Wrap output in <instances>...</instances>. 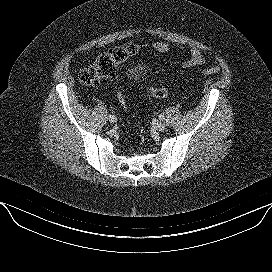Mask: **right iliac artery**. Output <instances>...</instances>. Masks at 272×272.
<instances>
[{"label": "right iliac artery", "instance_id": "obj_1", "mask_svg": "<svg viewBox=\"0 0 272 272\" xmlns=\"http://www.w3.org/2000/svg\"><path fill=\"white\" fill-rule=\"evenodd\" d=\"M109 117H114V115H113V114H110Z\"/></svg>", "mask_w": 272, "mask_h": 272}]
</instances>
